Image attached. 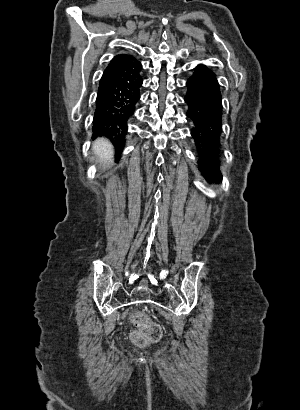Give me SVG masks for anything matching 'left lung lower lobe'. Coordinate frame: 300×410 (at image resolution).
<instances>
[{
	"mask_svg": "<svg viewBox=\"0 0 300 410\" xmlns=\"http://www.w3.org/2000/svg\"><path fill=\"white\" fill-rule=\"evenodd\" d=\"M184 98L187 117L193 123L191 135L198 152V165L209 180H222L220 172V136L222 132V101L215 74L205 65H198L186 82Z\"/></svg>",
	"mask_w": 300,
	"mask_h": 410,
	"instance_id": "left-lung-lower-lobe-1",
	"label": "left lung lower lobe"
}]
</instances>
